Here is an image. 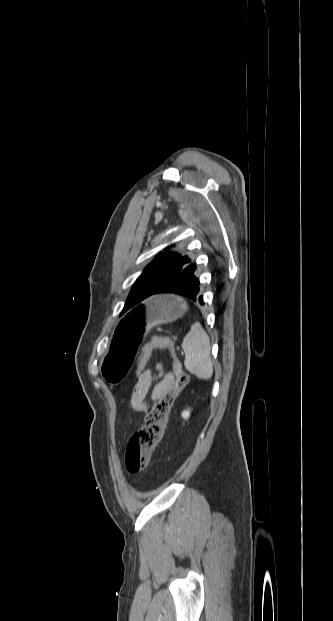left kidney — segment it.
I'll list each match as a JSON object with an SVG mask.
<instances>
[{
	"mask_svg": "<svg viewBox=\"0 0 333 621\" xmlns=\"http://www.w3.org/2000/svg\"><path fill=\"white\" fill-rule=\"evenodd\" d=\"M181 415L184 419H188L190 417V412L186 410V411H183Z\"/></svg>",
	"mask_w": 333,
	"mask_h": 621,
	"instance_id": "left-kidney-1",
	"label": "left kidney"
}]
</instances>
